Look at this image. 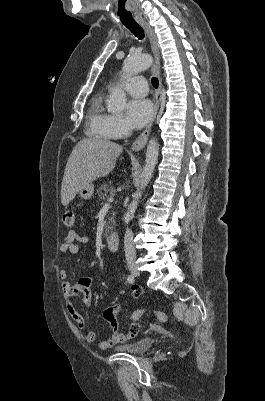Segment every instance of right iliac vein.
I'll return each mask as SVG.
<instances>
[{"label": "right iliac vein", "instance_id": "1", "mask_svg": "<svg viewBox=\"0 0 265 401\" xmlns=\"http://www.w3.org/2000/svg\"><path fill=\"white\" fill-rule=\"evenodd\" d=\"M128 268L134 276L139 277L141 275L136 263L133 262L129 263Z\"/></svg>", "mask_w": 265, "mask_h": 401}]
</instances>
